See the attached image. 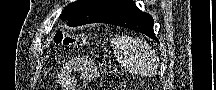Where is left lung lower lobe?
I'll return each instance as SVG.
<instances>
[{"label":"left lung lower lobe","mask_w":216,"mask_h":90,"mask_svg":"<svg viewBox=\"0 0 216 90\" xmlns=\"http://www.w3.org/2000/svg\"><path fill=\"white\" fill-rule=\"evenodd\" d=\"M94 23H108L133 29L149 36L159 43L153 31V18L149 14L138 9L136 4L132 1L109 12Z\"/></svg>","instance_id":"0a47b994"}]
</instances>
